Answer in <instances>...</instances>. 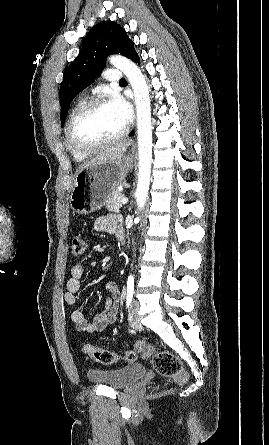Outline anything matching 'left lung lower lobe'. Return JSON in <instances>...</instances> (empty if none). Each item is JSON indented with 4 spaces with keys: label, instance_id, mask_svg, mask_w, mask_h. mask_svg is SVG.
Segmentation results:
<instances>
[{
    "label": "left lung lower lobe",
    "instance_id": "left-lung-lower-lobe-1",
    "mask_svg": "<svg viewBox=\"0 0 269 445\" xmlns=\"http://www.w3.org/2000/svg\"><path fill=\"white\" fill-rule=\"evenodd\" d=\"M139 61H140V58L138 57L135 62H139Z\"/></svg>",
    "mask_w": 269,
    "mask_h": 445
}]
</instances>
